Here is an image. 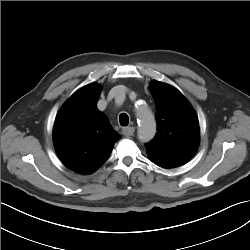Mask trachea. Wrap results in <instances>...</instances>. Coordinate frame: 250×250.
<instances>
[{"label":"trachea","instance_id":"3493384b","mask_svg":"<svg viewBox=\"0 0 250 250\" xmlns=\"http://www.w3.org/2000/svg\"><path fill=\"white\" fill-rule=\"evenodd\" d=\"M121 126H127L129 124V117L126 113H121L119 116Z\"/></svg>","mask_w":250,"mask_h":250}]
</instances>
